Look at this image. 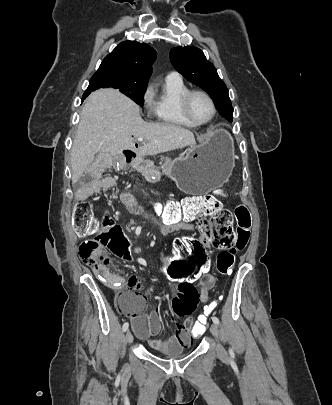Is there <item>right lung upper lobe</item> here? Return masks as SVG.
<instances>
[{
    "label": "right lung upper lobe",
    "instance_id": "right-lung-upper-lobe-1",
    "mask_svg": "<svg viewBox=\"0 0 332 405\" xmlns=\"http://www.w3.org/2000/svg\"><path fill=\"white\" fill-rule=\"evenodd\" d=\"M156 55L148 44L124 41L104 58L97 72H114L148 81Z\"/></svg>",
    "mask_w": 332,
    "mask_h": 405
}]
</instances>
